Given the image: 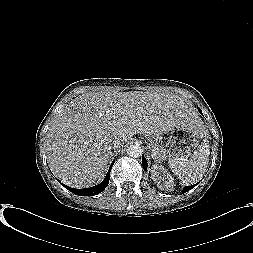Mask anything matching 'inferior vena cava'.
Returning a JSON list of instances; mask_svg holds the SVG:
<instances>
[{"mask_svg": "<svg viewBox=\"0 0 253 253\" xmlns=\"http://www.w3.org/2000/svg\"><path fill=\"white\" fill-rule=\"evenodd\" d=\"M111 143L115 148H120L123 145V140L121 136L119 135H114L111 138Z\"/></svg>", "mask_w": 253, "mask_h": 253, "instance_id": "obj_1", "label": "inferior vena cava"}]
</instances>
